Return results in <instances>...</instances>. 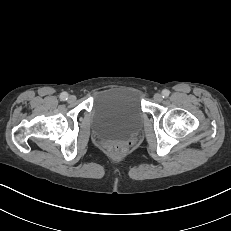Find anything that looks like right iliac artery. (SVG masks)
I'll return each mask as SVG.
<instances>
[{"label":"right iliac artery","instance_id":"1","mask_svg":"<svg viewBox=\"0 0 231 231\" xmlns=\"http://www.w3.org/2000/svg\"><path fill=\"white\" fill-rule=\"evenodd\" d=\"M60 99H61L62 101L67 100V99H68V94H67L66 92H62V93L60 94Z\"/></svg>","mask_w":231,"mask_h":231}]
</instances>
